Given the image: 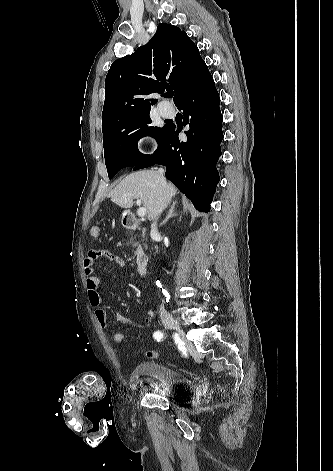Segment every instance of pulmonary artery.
I'll return each mask as SVG.
<instances>
[{
  "label": "pulmonary artery",
  "mask_w": 333,
  "mask_h": 471,
  "mask_svg": "<svg viewBox=\"0 0 333 471\" xmlns=\"http://www.w3.org/2000/svg\"><path fill=\"white\" fill-rule=\"evenodd\" d=\"M158 110L163 116H171L174 113V108L172 105L166 102H161L158 105Z\"/></svg>",
  "instance_id": "1"
}]
</instances>
